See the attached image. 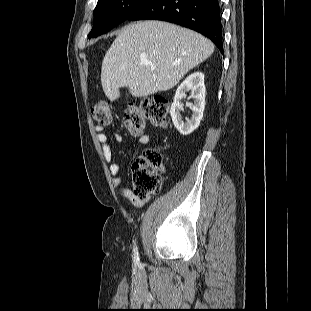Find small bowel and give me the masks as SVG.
Returning <instances> with one entry per match:
<instances>
[{
	"label": "small bowel",
	"instance_id": "obj_1",
	"mask_svg": "<svg viewBox=\"0 0 311 311\" xmlns=\"http://www.w3.org/2000/svg\"><path fill=\"white\" fill-rule=\"evenodd\" d=\"M94 129L97 141L101 147L102 156L108 164V170L113 179V184L117 193L130 200V202L136 208L143 207L150 200L151 197L149 195L138 196L132 190L122 184V178L120 176V166L116 161L113 160V151L108 143L107 135L105 134L103 127L96 125ZM114 140L116 143L120 144L123 141V137L120 133H116L114 135ZM149 140L150 138L147 134H143L138 137V143L140 145H147L149 143Z\"/></svg>",
	"mask_w": 311,
	"mask_h": 311
}]
</instances>
